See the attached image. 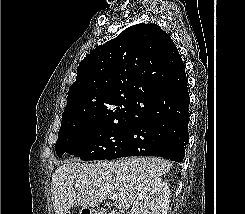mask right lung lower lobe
<instances>
[{"label":"right lung lower lobe","mask_w":245,"mask_h":214,"mask_svg":"<svg viewBox=\"0 0 245 214\" xmlns=\"http://www.w3.org/2000/svg\"><path fill=\"white\" fill-rule=\"evenodd\" d=\"M179 78L173 86L152 94L135 112L126 144L116 158L160 156L176 162L184 159L190 98L186 75Z\"/></svg>","instance_id":"obj_1"}]
</instances>
